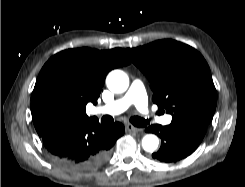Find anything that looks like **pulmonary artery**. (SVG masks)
Here are the masks:
<instances>
[{"label": "pulmonary artery", "mask_w": 245, "mask_h": 187, "mask_svg": "<svg viewBox=\"0 0 245 187\" xmlns=\"http://www.w3.org/2000/svg\"><path fill=\"white\" fill-rule=\"evenodd\" d=\"M131 105H134L141 113L145 114L150 121H157L167 125L172 120L171 115L158 117L148 109V99L145 87L140 80H134L122 98L117 99L108 105L96 108L94 113L98 115H117L126 111Z\"/></svg>", "instance_id": "obj_1"}]
</instances>
